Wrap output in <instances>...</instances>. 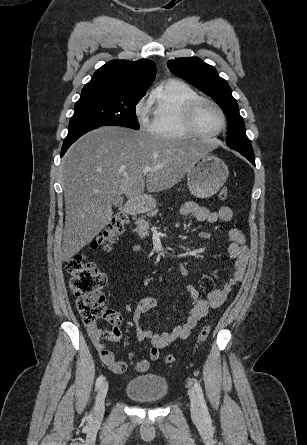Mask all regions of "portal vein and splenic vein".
I'll use <instances>...</instances> for the list:
<instances>
[{"instance_id": "18ae733b", "label": "portal vein and splenic vein", "mask_w": 307, "mask_h": 445, "mask_svg": "<svg viewBox=\"0 0 307 445\" xmlns=\"http://www.w3.org/2000/svg\"><path fill=\"white\" fill-rule=\"evenodd\" d=\"M153 170H157V168H151V166H144L142 172H145V174H147V172H153Z\"/></svg>"}]
</instances>
